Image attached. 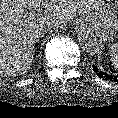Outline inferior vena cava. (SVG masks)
<instances>
[{
  "label": "inferior vena cava",
  "instance_id": "inferior-vena-cava-1",
  "mask_svg": "<svg viewBox=\"0 0 118 118\" xmlns=\"http://www.w3.org/2000/svg\"><path fill=\"white\" fill-rule=\"evenodd\" d=\"M39 27H40V33L41 35H43L48 32L49 33L58 32L62 26L52 20L43 19L42 21H40Z\"/></svg>",
  "mask_w": 118,
  "mask_h": 118
}]
</instances>
